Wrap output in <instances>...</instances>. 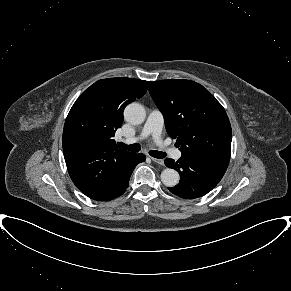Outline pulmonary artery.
Segmentation results:
<instances>
[{"label": "pulmonary artery", "instance_id": "obj_1", "mask_svg": "<svg viewBox=\"0 0 291 291\" xmlns=\"http://www.w3.org/2000/svg\"><path fill=\"white\" fill-rule=\"evenodd\" d=\"M163 124L164 118L162 113L159 110H152L147 117L141 133L137 137L125 139V142L131 144L151 136L157 145L163 146L161 139ZM167 152L175 159H179L182 156L181 151L176 149H168Z\"/></svg>", "mask_w": 291, "mask_h": 291}]
</instances>
